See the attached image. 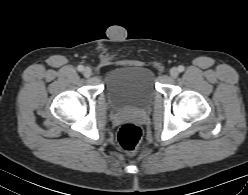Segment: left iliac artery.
<instances>
[{
  "mask_svg": "<svg viewBox=\"0 0 248 195\" xmlns=\"http://www.w3.org/2000/svg\"><path fill=\"white\" fill-rule=\"evenodd\" d=\"M178 70H179L180 72L184 71V66L180 65V66L178 67Z\"/></svg>",
  "mask_w": 248,
  "mask_h": 195,
  "instance_id": "44dca946",
  "label": "left iliac artery"
}]
</instances>
